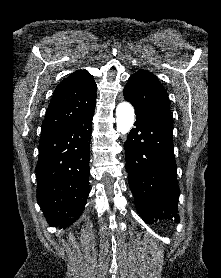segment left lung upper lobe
Returning a JSON list of instances; mask_svg holds the SVG:
<instances>
[{"instance_id": "1", "label": "left lung upper lobe", "mask_w": 221, "mask_h": 278, "mask_svg": "<svg viewBox=\"0 0 221 278\" xmlns=\"http://www.w3.org/2000/svg\"><path fill=\"white\" fill-rule=\"evenodd\" d=\"M123 95L134 106L136 116L171 117L168 94L158 78L149 71L140 70L131 75Z\"/></svg>"}]
</instances>
